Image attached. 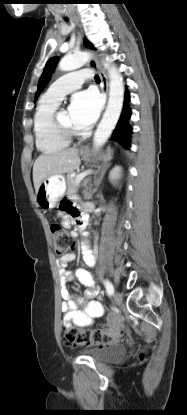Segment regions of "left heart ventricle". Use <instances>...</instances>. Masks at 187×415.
<instances>
[{"instance_id":"obj_1","label":"left heart ventricle","mask_w":187,"mask_h":415,"mask_svg":"<svg viewBox=\"0 0 187 415\" xmlns=\"http://www.w3.org/2000/svg\"><path fill=\"white\" fill-rule=\"evenodd\" d=\"M58 118L61 121V123L64 124L65 126L75 128L72 124L68 111L65 110V111L60 112L58 114Z\"/></svg>"}]
</instances>
